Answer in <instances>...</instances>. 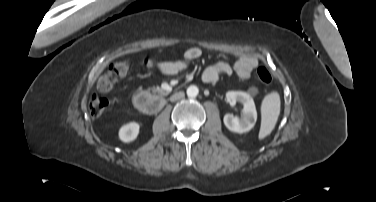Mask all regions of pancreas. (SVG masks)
Listing matches in <instances>:
<instances>
[{
    "instance_id": "cf45deb5",
    "label": "pancreas",
    "mask_w": 376,
    "mask_h": 202,
    "mask_svg": "<svg viewBox=\"0 0 376 202\" xmlns=\"http://www.w3.org/2000/svg\"><path fill=\"white\" fill-rule=\"evenodd\" d=\"M151 91H152L153 93L165 94V92H164L161 88H159V87H153V88L151 89Z\"/></svg>"
}]
</instances>
